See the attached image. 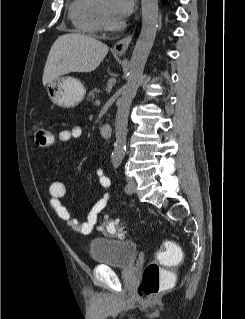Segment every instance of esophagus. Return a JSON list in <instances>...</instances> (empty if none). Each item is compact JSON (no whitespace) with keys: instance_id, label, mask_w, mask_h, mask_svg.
Returning a JSON list of instances; mask_svg holds the SVG:
<instances>
[{"instance_id":"obj_1","label":"esophagus","mask_w":245,"mask_h":319,"mask_svg":"<svg viewBox=\"0 0 245 319\" xmlns=\"http://www.w3.org/2000/svg\"><path fill=\"white\" fill-rule=\"evenodd\" d=\"M132 36L133 34L127 35L126 37L116 42L112 49L113 52L116 54H124L132 41Z\"/></svg>"}]
</instances>
